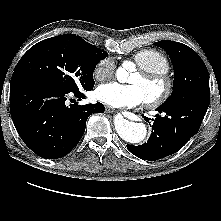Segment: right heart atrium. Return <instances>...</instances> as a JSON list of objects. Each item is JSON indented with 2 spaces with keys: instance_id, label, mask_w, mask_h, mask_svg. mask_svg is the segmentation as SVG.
Returning <instances> with one entry per match:
<instances>
[{
  "instance_id": "right-heart-atrium-1",
  "label": "right heart atrium",
  "mask_w": 221,
  "mask_h": 221,
  "mask_svg": "<svg viewBox=\"0 0 221 221\" xmlns=\"http://www.w3.org/2000/svg\"><path fill=\"white\" fill-rule=\"evenodd\" d=\"M115 73V65L111 58L101 59L93 70V77L97 81H105L113 77Z\"/></svg>"
}]
</instances>
